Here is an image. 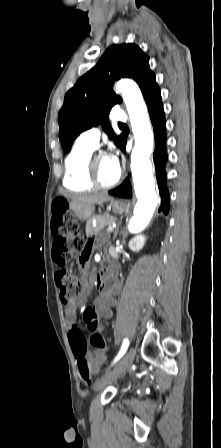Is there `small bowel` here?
I'll list each match as a JSON object with an SVG mask.
<instances>
[{"label":"small bowel","mask_w":221,"mask_h":448,"mask_svg":"<svg viewBox=\"0 0 221 448\" xmlns=\"http://www.w3.org/2000/svg\"><path fill=\"white\" fill-rule=\"evenodd\" d=\"M54 216H55V210L53 209L52 219L54 218ZM51 228H52V235H53V252H54L56 250L55 243H56L57 231H56V227H54L52 225V220H51ZM98 244H99L98 240L92 239L88 243V248L92 249ZM80 264H81V267L83 269H85V263L80 262ZM81 284L83 286V290L85 293L87 290V287H88L85 277L81 278ZM118 290H119L118 284L114 285L112 288L105 286L104 288H101L100 295L94 300L92 308L94 309V311L97 313V316H98L97 332H102L104 329V323L101 322L99 319L106 320L111 317L112 307L115 305L113 293L118 292ZM81 300H82V297L79 300H77L76 302H74L71 306H68L66 309V314L68 317L67 325L69 327V332L73 327L72 322L76 315V306ZM69 332H68V338H69ZM81 336L84 338V335L82 333H81ZM69 342H70V340H69ZM70 346L72 349V353L75 357V353H74L71 343H70ZM107 352H108L107 346H105L104 348H96V350L92 354H87V352H86L85 357H86L91 369L94 372H98L100 367L105 363V361L107 359Z\"/></svg>","instance_id":"small-bowel-1"}]
</instances>
